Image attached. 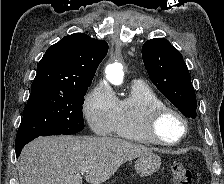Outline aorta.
<instances>
[{
	"mask_svg": "<svg viewBox=\"0 0 224 184\" xmlns=\"http://www.w3.org/2000/svg\"><path fill=\"white\" fill-rule=\"evenodd\" d=\"M106 79L114 84L121 85L123 82L124 73L122 70V65L119 63H113L107 66L106 68Z\"/></svg>",
	"mask_w": 224,
	"mask_h": 184,
	"instance_id": "762f6f07",
	"label": "aorta"
}]
</instances>
